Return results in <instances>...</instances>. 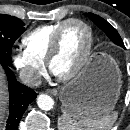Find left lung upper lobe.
Returning a JSON list of instances; mask_svg holds the SVG:
<instances>
[{"instance_id":"left-lung-upper-lobe-1","label":"left lung upper lobe","mask_w":130,"mask_h":130,"mask_svg":"<svg viewBox=\"0 0 130 130\" xmlns=\"http://www.w3.org/2000/svg\"><path fill=\"white\" fill-rule=\"evenodd\" d=\"M88 16L100 29H102L106 33V35L110 38V40L113 43L125 48L120 35L112 25H110L106 20H104L100 16L95 15L93 13H88Z\"/></svg>"}]
</instances>
